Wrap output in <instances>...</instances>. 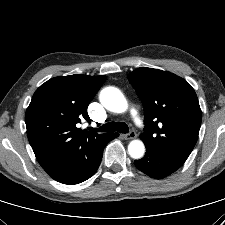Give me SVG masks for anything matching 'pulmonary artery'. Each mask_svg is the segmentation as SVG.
<instances>
[{
  "label": "pulmonary artery",
  "instance_id": "e3ab8cb5",
  "mask_svg": "<svg viewBox=\"0 0 225 225\" xmlns=\"http://www.w3.org/2000/svg\"><path fill=\"white\" fill-rule=\"evenodd\" d=\"M131 113L136 117V119H138L139 118V115H138V112L136 111V109L135 108H131Z\"/></svg>",
  "mask_w": 225,
  "mask_h": 225
}]
</instances>
